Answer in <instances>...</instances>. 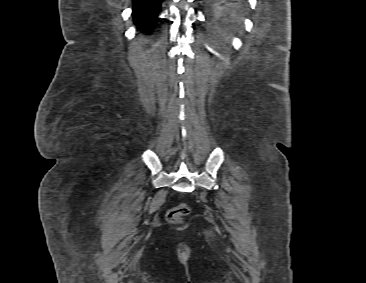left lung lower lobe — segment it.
<instances>
[{
	"mask_svg": "<svg viewBox=\"0 0 366 283\" xmlns=\"http://www.w3.org/2000/svg\"><path fill=\"white\" fill-rule=\"evenodd\" d=\"M204 5L215 14H231L245 6L247 0H202Z\"/></svg>",
	"mask_w": 366,
	"mask_h": 283,
	"instance_id": "obj_1",
	"label": "left lung lower lobe"
}]
</instances>
